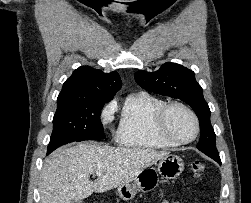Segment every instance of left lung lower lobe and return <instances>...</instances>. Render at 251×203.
I'll list each match as a JSON object with an SVG mask.
<instances>
[{"label":"left lung lower lobe","instance_id":"left-lung-lower-lobe-1","mask_svg":"<svg viewBox=\"0 0 251 203\" xmlns=\"http://www.w3.org/2000/svg\"><path fill=\"white\" fill-rule=\"evenodd\" d=\"M214 160L217 161L218 163H221L219 158H215Z\"/></svg>","mask_w":251,"mask_h":203}]
</instances>
